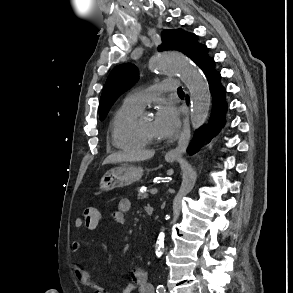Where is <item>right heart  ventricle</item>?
Listing matches in <instances>:
<instances>
[{
	"instance_id": "right-heart-ventricle-1",
	"label": "right heart ventricle",
	"mask_w": 293,
	"mask_h": 293,
	"mask_svg": "<svg viewBox=\"0 0 293 293\" xmlns=\"http://www.w3.org/2000/svg\"><path fill=\"white\" fill-rule=\"evenodd\" d=\"M142 110L122 104L116 111L110 125L111 143L123 151H140L148 147V143L138 132L136 120Z\"/></svg>"
}]
</instances>
